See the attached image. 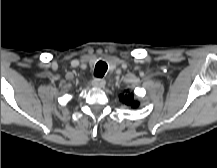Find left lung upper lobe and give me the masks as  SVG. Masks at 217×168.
Wrapping results in <instances>:
<instances>
[{"label": "left lung upper lobe", "instance_id": "1", "mask_svg": "<svg viewBox=\"0 0 217 168\" xmlns=\"http://www.w3.org/2000/svg\"><path fill=\"white\" fill-rule=\"evenodd\" d=\"M125 92L127 94H121L120 100L126 105H131L132 107H137L139 105V103L134 101L133 93H129L128 90H125Z\"/></svg>", "mask_w": 217, "mask_h": 168}]
</instances>
